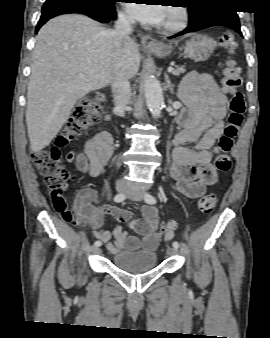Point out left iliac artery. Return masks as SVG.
Masks as SVG:
<instances>
[{
  "label": "left iliac artery",
  "instance_id": "left-iliac-artery-1",
  "mask_svg": "<svg viewBox=\"0 0 270 338\" xmlns=\"http://www.w3.org/2000/svg\"><path fill=\"white\" fill-rule=\"evenodd\" d=\"M144 199H145V202L148 204H155L157 202L156 198L151 194H145ZM172 245L176 249L179 248V243L177 241H174Z\"/></svg>",
  "mask_w": 270,
  "mask_h": 338
}]
</instances>
